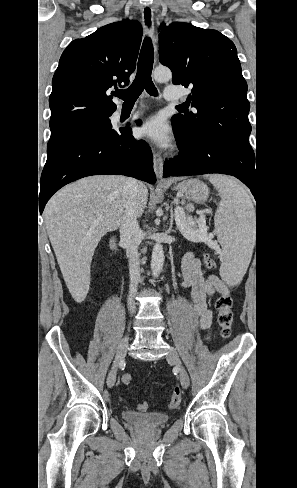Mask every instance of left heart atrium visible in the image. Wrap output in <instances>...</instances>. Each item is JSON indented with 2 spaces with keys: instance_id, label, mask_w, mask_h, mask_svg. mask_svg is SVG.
<instances>
[{
  "instance_id": "obj_1",
  "label": "left heart atrium",
  "mask_w": 297,
  "mask_h": 488,
  "mask_svg": "<svg viewBox=\"0 0 297 488\" xmlns=\"http://www.w3.org/2000/svg\"><path fill=\"white\" fill-rule=\"evenodd\" d=\"M140 134L161 147H167L171 142L170 127L165 119L159 115L145 121L140 127Z\"/></svg>"
}]
</instances>
